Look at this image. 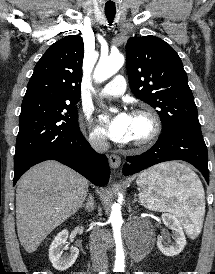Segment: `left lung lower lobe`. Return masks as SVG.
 <instances>
[{"label": "left lung lower lobe", "instance_id": "obj_1", "mask_svg": "<svg viewBox=\"0 0 215 274\" xmlns=\"http://www.w3.org/2000/svg\"><path fill=\"white\" fill-rule=\"evenodd\" d=\"M170 160H183L194 165L209 183L208 155L202 133L186 129L162 132L151 149L126 158L123 174L132 175Z\"/></svg>", "mask_w": 215, "mask_h": 274}]
</instances>
